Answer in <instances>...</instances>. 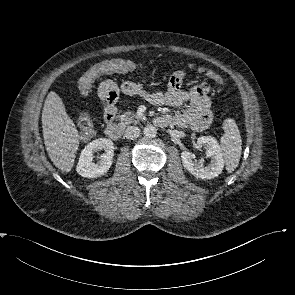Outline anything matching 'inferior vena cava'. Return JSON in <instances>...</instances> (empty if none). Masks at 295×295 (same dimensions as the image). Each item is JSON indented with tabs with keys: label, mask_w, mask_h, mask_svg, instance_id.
Wrapping results in <instances>:
<instances>
[{
	"label": "inferior vena cava",
	"mask_w": 295,
	"mask_h": 295,
	"mask_svg": "<svg viewBox=\"0 0 295 295\" xmlns=\"http://www.w3.org/2000/svg\"><path fill=\"white\" fill-rule=\"evenodd\" d=\"M140 135V129L136 126H129L125 130L124 136L126 139L133 140L138 138Z\"/></svg>",
	"instance_id": "602c4592"
}]
</instances>
